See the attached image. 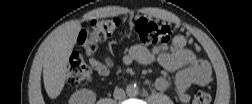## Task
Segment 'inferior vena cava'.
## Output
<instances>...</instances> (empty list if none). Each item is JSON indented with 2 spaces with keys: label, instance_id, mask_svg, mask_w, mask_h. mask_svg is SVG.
I'll return each instance as SVG.
<instances>
[{
  "label": "inferior vena cava",
  "instance_id": "1",
  "mask_svg": "<svg viewBox=\"0 0 252 104\" xmlns=\"http://www.w3.org/2000/svg\"><path fill=\"white\" fill-rule=\"evenodd\" d=\"M113 97L116 100H123L125 98V91L121 88H116L113 93Z\"/></svg>",
  "mask_w": 252,
  "mask_h": 104
}]
</instances>
